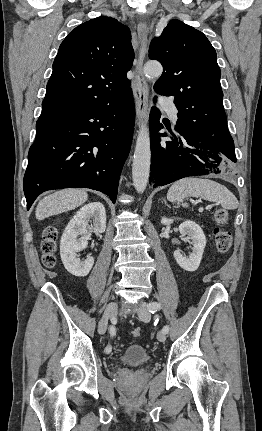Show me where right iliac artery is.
I'll return each mask as SVG.
<instances>
[{
	"label": "right iliac artery",
	"instance_id": "1",
	"mask_svg": "<svg viewBox=\"0 0 262 431\" xmlns=\"http://www.w3.org/2000/svg\"><path fill=\"white\" fill-rule=\"evenodd\" d=\"M110 335L111 336L115 335V332H114L113 329L110 330ZM105 351H106V353H110L112 351V348L110 346H107L106 349H105Z\"/></svg>",
	"mask_w": 262,
	"mask_h": 431
}]
</instances>
